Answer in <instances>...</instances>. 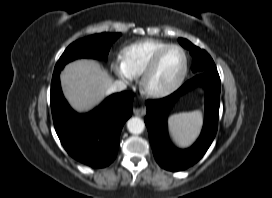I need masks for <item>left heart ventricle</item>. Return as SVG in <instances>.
Here are the masks:
<instances>
[{
  "instance_id": "1",
  "label": "left heart ventricle",
  "mask_w": 272,
  "mask_h": 198,
  "mask_svg": "<svg viewBox=\"0 0 272 198\" xmlns=\"http://www.w3.org/2000/svg\"><path fill=\"white\" fill-rule=\"evenodd\" d=\"M183 65L182 52L178 49H171L162 58L158 69L150 80V86L156 89L168 87L180 76Z\"/></svg>"
}]
</instances>
